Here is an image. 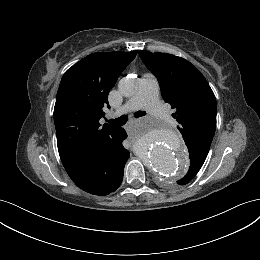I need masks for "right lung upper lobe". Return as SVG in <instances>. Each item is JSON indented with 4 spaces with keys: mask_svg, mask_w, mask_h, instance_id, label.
I'll return each mask as SVG.
<instances>
[{
    "mask_svg": "<svg viewBox=\"0 0 260 260\" xmlns=\"http://www.w3.org/2000/svg\"><path fill=\"white\" fill-rule=\"evenodd\" d=\"M133 52H96L63 75L54 107L57 146L64 167L112 139L120 128L101 126L103 108L119 75L135 58Z\"/></svg>",
    "mask_w": 260,
    "mask_h": 260,
    "instance_id": "1",
    "label": "right lung upper lobe"
}]
</instances>
